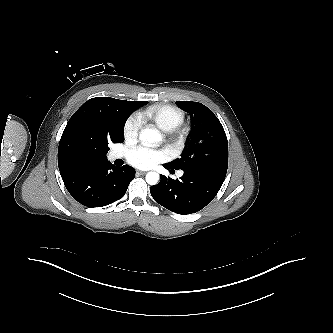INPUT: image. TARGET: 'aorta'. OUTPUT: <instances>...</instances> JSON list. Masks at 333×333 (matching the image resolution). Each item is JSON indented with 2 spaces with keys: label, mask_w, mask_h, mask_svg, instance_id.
I'll return each instance as SVG.
<instances>
[{
  "label": "aorta",
  "mask_w": 333,
  "mask_h": 333,
  "mask_svg": "<svg viewBox=\"0 0 333 333\" xmlns=\"http://www.w3.org/2000/svg\"><path fill=\"white\" fill-rule=\"evenodd\" d=\"M139 138L142 142L151 144L159 143L162 140V135L157 129H143L140 132ZM159 181V174L156 172H148L146 174V182L149 185H156Z\"/></svg>",
  "instance_id": "obj_1"
}]
</instances>
